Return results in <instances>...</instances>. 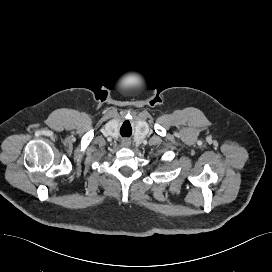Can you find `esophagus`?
<instances>
[{"label":"esophagus","mask_w":272,"mask_h":272,"mask_svg":"<svg viewBox=\"0 0 272 272\" xmlns=\"http://www.w3.org/2000/svg\"><path fill=\"white\" fill-rule=\"evenodd\" d=\"M122 144H123L124 146H128V145L130 144V140L124 139V140L122 141Z\"/></svg>","instance_id":"obj_1"}]
</instances>
